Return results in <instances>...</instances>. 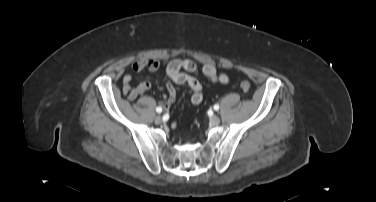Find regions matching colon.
<instances>
[{
  "label": "colon",
  "instance_id": "5ec220e1",
  "mask_svg": "<svg viewBox=\"0 0 376 202\" xmlns=\"http://www.w3.org/2000/svg\"><path fill=\"white\" fill-rule=\"evenodd\" d=\"M240 87L244 92H248L251 89V84L248 81H242Z\"/></svg>",
  "mask_w": 376,
  "mask_h": 202
}]
</instances>
